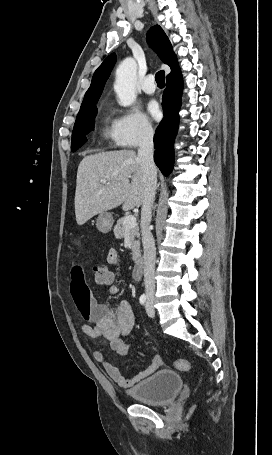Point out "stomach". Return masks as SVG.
<instances>
[{"instance_id": "stomach-1", "label": "stomach", "mask_w": 272, "mask_h": 455, "mask_svg": "<svg viewBox=\"0 0 272 455\" xmlns=\"http://www.w3.org/2000/svg\"><path fill=\"white\" fill-rule=\"evenodd\" d=\"M113 225V217L109 212H102L97 218V229L102 233L110 232Z\"/></svg>"}]
</instances>
